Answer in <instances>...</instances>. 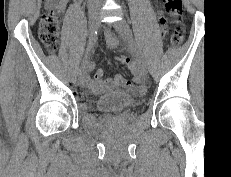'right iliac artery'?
Returning <instances> with one entry per match:
<instances>
[{
    "label": "right iliac artery",
    "instance_id": "obj_1",
    "mask_svg": "<svg viewBox=\"0 0 231 177\" xmlns=\"http://www.w3.org/2000/svg\"><path fill=\"white\" fill-rule=\"evenodd\" d=\"M97 34L98 31L94 30L93 32H91L90 36H89V40H88V44L84 53V59L86 61V59L88 58L90 52L93 50L94 44L96 42L97 39Z\"/></svg>",
    "mask_w": 231,
    "mask_h": 177
}]
</instances>
